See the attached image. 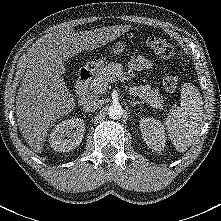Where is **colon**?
<instances>
[{"label":"colon","instance_id":"5ec220e1","mask_svg":"<svg viewBox=\"0 0 221 221\" xmlns=\"http://www.w3.org/2000/svg\"><path fill=\"white\" fill-rule=\"evenodd\" d=\"M146 46L163 60L172 59L175 55L174 47L167 40L158 36H148ZM177 85L178 78L176 75L169 74L162 79V86L167 92H174Z\"/></svg>","mask_w":221,"mask_h":221}]
</instances>
